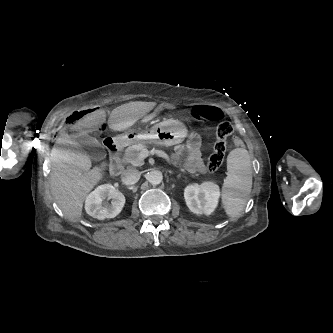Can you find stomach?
I'll use <instances>...</instances> for the list:
<instances>
[{"label":"stomach","instance_id":"obj_1","mask_svg":"<svg viewBox=\"0 0 333 333\" xmlns=\"http://www.w3.org/2000/svg\"><path fill=\"white\" fill-rule=\"evenodd\" d=\"M187 136L188 131L181 122L167 119L145 130H128L113 137V141L118 145L138 142L170 146L181 143Z\"/></svg>","mask_w":333,"mask_h":333}]
</instances>
